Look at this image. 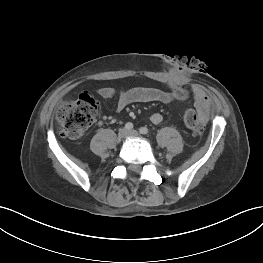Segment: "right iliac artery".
<instances>
[{"instance_id": "1", "label": "right iliac artery", "mask_w": 263, "mask_h": 263, "mask_svg": "<svg viewBox=\"0 0 263 263\" xmlns=\"http://www.w3.org/2000/svg\"><path fill=\"white\" fill-rule=\"evenodd\" d=\"M125 128L127 130H132L133 129V124L131 122H128V123H126Z\"/></svg>"}]
</instances>
